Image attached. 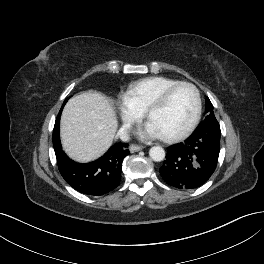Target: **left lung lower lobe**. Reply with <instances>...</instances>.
Wrapping results in <instances>:
<instances>
[{
	"label": "left lung lower lobe",
	"instance_id": "obj_1",
	"mask_svg": "<svg viewBox=\"0 0 264 264\" xmlns=\"http://www.w3.org/2000/svg\"><path fill=\"white\" fill-rule=\"evenodd\" d=\"M219 123L204 120L184 142L170 146L160 168L163 179L179 189L204 184L216 169L220 152Z\"/></svg>",
	"mask_w": 264,
	"mask_h": 264
}]
</instances>
